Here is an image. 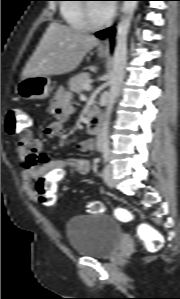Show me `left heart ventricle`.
<instances>
[{
    "label": "left heart ventricle",
    "mask_w": 180,
    "mask_h": 299,
    "mask_svg": "<svg viewBox=\"0 0 180 299\" xmlns=\"http://www.w3.org/2000/svg\"><path fill=\"white\" fill-rule=\"evenodd\" d=\"M91 5V15L94 22H102L109 16L105 11L103 4L101 3H90Z\"/></svg>",
    "instance_id": "1"
}]
</instances>
